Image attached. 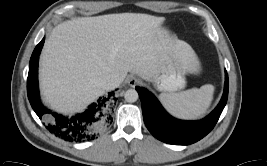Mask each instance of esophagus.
<instances>
[{"label":"esophagus","mask_w":267,"mask_h":166,"mask_svg":"<svg viewBox=\"0 0 267 166\" xmlns=\"http://www.w3.org/2000/svg\"><path fill=\"white\" fill-rule=\"evenodd\" d=\"M127 83L130 87H135L140 84V80L135 76H130L127 80Z\"/></svg>","instance_id":"esophagus-1"}]
</instances>
